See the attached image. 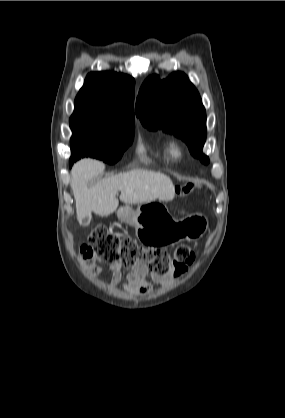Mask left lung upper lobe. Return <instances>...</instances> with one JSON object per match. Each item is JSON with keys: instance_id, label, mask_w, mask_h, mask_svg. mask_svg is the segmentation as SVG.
I'll return each mask as SVG.
<instances>
[{"instance_id": "obj_1", "label": "left lung upper lobe", "mask_w": 285, "mask_h": 418, "mask_svg": "<svg viewBox=\"0 0 285 418\" xmlns=\"http://www.w3.org/2000/svg\"><path fill=\"white\" fill-rule=\"evenodd\" d=\"M135 111L149 130L173 133L188 145L195 158L209 163L202 153L206 140L205 108L184 73H172L162 81L157 75L147 78L139 91Z\"/></svg>"}]
</instances>
